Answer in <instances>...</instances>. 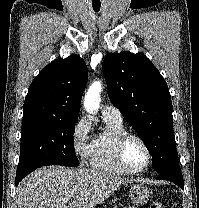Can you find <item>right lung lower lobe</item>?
<instances>
[{"label": "right lung lower lobe", "mask_w": 199, "mask_h": 208, "mask_svg": "<svg viewBox=\"0 0 199 208\" xmlns=\"http://www.w3.org/2000/svg\"><path fill=\"white\" fill-rule=\"evenodd\" d=\"M26 175H16L15 184L18 185V183L25 177Z\"/></svg>", "instance_id": "1"}]
</instances>
